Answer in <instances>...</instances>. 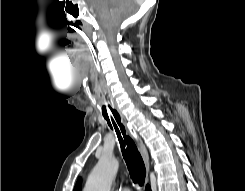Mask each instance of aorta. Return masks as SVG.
Returning a JSON list of instances; mask_svg holds the SVG:
<instances>
[{
  "label": "aorta",
  "mask_w": 245,
  "mask_h": 191,
  "mask_svg": "<svg viewBox=\"0 0 245 191\" xmlns=\"http://www.w3.org/2000/svg\"><path fill=\"white\" fill-rule=\"evenodd\" d=\"M118 168L119 162L116 158L102 157L90 173L83 191H110Z\"/></svg>",
  "instance_id": "aorta-1"
}]
</instances>
